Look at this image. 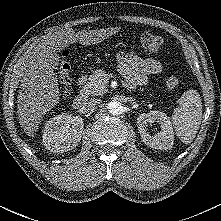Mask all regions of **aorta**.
Instances as JSON below:
<instances>
[{"label": "aorta", "mask_w": 221, "mask_h": 221, "mask_svg": "<svg viewBox=\"0 0 221 221\" xmlns=\"http://www.w3.org/2000/svg\"><path fill=\"white\" fill-rule=\"evenodd\" d=\"M122 108V104L118 101H113L108 104V111L113 115L121 114Z\"/></svg>", "instance_id": "1"}]
</instances>
